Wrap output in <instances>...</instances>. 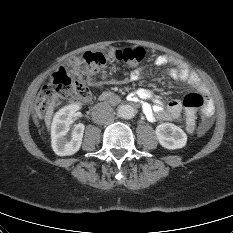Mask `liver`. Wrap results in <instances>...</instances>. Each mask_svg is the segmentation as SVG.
I'll return each instance as SVG.
<instances>
[{
	"instance_id": "liver-1",
	"label": "liver",
	"mask_w": 233,
	"mask_h": 233,
	"mask_svg": "<svg viewBox=\"0 0 233 233\" xmlns=\"http://www.w3.org/2000/svg\"><path fill=\"white\" fill-rule=\"evenodd\" d=\"M54 103H55V100L53 99L52 103L50 104V106L48 107L46 111L45 118H44L46 127L48 129L50 128V125H51V119H52L53 111H54Z\"/></svg>"
}]
</instances>
